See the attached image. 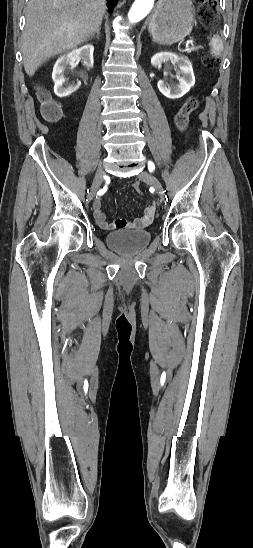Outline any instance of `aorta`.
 I'll return each instance as SVG.
<instances>
[{
    "mask_svg": "<svg viewBox=\"0 0 253 548\" xmlns=\"http://www.w3.org/2000/svg\"><path fill=\"white\" fill-rule=\"evenodd\" d=\"M155 0H135L129 13L130 23H137L145 18L154 6Z\"/></svg>",
    "mask_w": 253,
    "mask_h": 548,
    "instance_id": "aorta-1",
    "label": "aorta"
}]
</instances>
